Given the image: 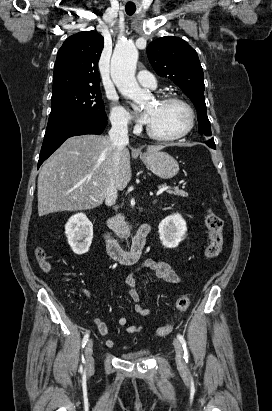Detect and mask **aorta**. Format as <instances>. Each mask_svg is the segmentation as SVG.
<instances>
[{"label":"aorta","mask_w":272,"mask_h":411,"mask_svg":"<svg viewBox=\"0 0 272 411\" xmlns=\"http://www.w3.org/2000/svg\"><path fill=\"white\" fill-rule=\"evenodd\" d=\"M137 60L138 50L133 43L126 42L117 46L111 59V77L123 96L142 105L146 93L135 79Z\"/></svg>","instance_id":"obj_1"}]
</instances>
